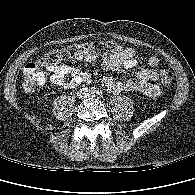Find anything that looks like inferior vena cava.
<instances>
[{"mask_svg":"<svg viewBox=\"0 0 195 195\" xmlns=\"http://www.w3.org/2000/svg\"><path fill=\"white\" fill-rule=\"evenodd\" d=\"M83 92H84V95H83L84 98L87 96H91V94H92V92L89 90H84Z\"/></svg>","mask_w":195,"mask_h":195,"instance_id":"1","label":"inferior vena cava"}]
</instances>
